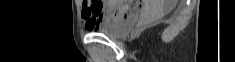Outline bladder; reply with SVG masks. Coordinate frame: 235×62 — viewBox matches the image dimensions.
I'll return each instance as SVG.
<instances>
[{
    "label": "bladder",
    "instance_id": "1",
    "mask_svg": "<svg viewBox=\"0 0 235 62\" xmlns=\"http://www.w3.org/2000/svg\"><path fill=\"white\" fill-rule=\"evenodd\" d=\"M137 20L135 14L127 18L111 24H104L96 29V32L103 34L109 38H119L126 35Z\"/></svg>",
    "mask_w": 235,
    "mask_h": 62
}]
</instances>
